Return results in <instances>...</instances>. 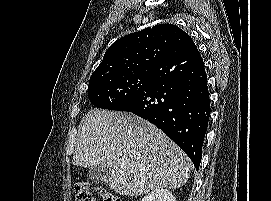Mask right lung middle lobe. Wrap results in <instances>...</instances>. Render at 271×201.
<instances>
[{"label":"right lung middle lobe","instance_id":"obj_1","mask_svg":"<svg viewBox=\"0 0 271 201\" xmlns=\"http://www.w3.org/2000/svg\"><path fill=\"white\" fill-rule=\"evenodd\" d=\"M152 72H123L89 81L88 96L97 108L120 110L122 105L149 89Z\"/></svg>","mask_w":271,"mask_h":201}]
</instances>
